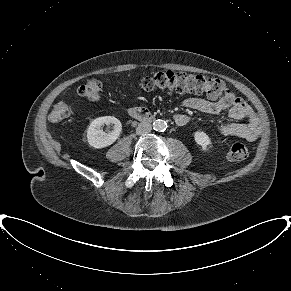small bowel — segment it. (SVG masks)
<instances>
[{"mask_svg": "<svg viewBox=\"0 0 291 291\" xmlns=\"http://www.w3.org/2000/svg\"><path fill=\"white\" fill-rule=\"evenodd\" d=\"M182 105L210 115L227 110L229 117L236 122L218 125V132L224 136H236L252 142L261 132L260 122L251 107L242 98L233 94L215 102L203 97H188L182 101ZM174 120L178 126H185L189 122V117L185 114H176Z\"/></svg>", "mask_w": 291, "mask_h": 291, "instance_id": "1", "label": "small bowel"}]
</instances>
